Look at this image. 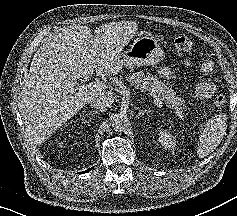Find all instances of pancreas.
I'll return each mask as SVG.
<instances>
[{
  "mask_svg": "<svg viewBox=\"0 0 237 216\" xmlns=\"http://www.w3.org/2000/svg\"><path fill=\"white\" fill-rule=\"evenodd\" d=\"M131 85L138 89L150 91V95L156 99H164L165 102H170L175 108L179 110H186L188 108V101L176 95L171 89H167L164 84L154 80L153 76H147L144 72L139 71L132 74L128 79Z\"/></svg>",
  "mask_w": 237,
  "mask_h": 216,
  "instance_id": "1",
  "label": "pancreas"
}]
</instances>
